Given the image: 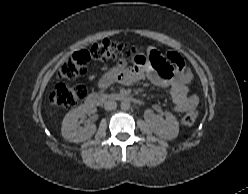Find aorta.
I'll return each mask as SVG.
<instances>
[{
  "mask_svg": "<svg viewBox=\"0 0 248 194\" xmlns=\"http://www.w3.org/2000/svg\"><path fill=\"white\" fill-rule=\"evenodd\" d=\"M122 110H128L130 108V102L128 100H124L120 105Z\"/></svg>",
  "mask_w": 248,
  "mask_h": 194,
  "instance_id": "aorta-1",
  "label": "aorta"
}]
</instances>
